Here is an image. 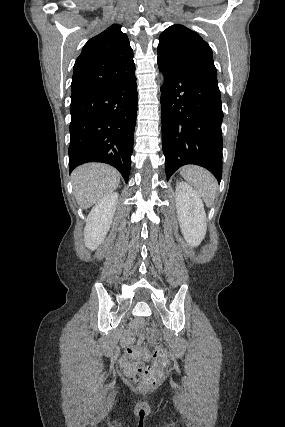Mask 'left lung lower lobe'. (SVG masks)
Listing matches in <instances>:
<instances>
[{"mask_svg": "<svg viewBox=\"0 0 285 427\" xmlns=\"http://www.w3.org/2000/svg\"><path fill=\"white\" fill-rule=\"evenodd\" d=\"M162 87V147L169 179L181 166L195 164L222 177L223 112L217 77L168 66L158 60Z\"/></svg>", "mask_w": 285, "mask_h": 427, "instance_id": "1", "label": "left lung lower lobe"}]
</instances>
